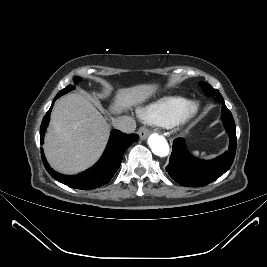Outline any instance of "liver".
<instances>
[{"instance_id":"liver-1","label":"liver","mask_w":267,"mask_h":267,"mask_svg":"<svg viewBox=\"0 0 267 267\" xmlns=\"http://www.w3.org/2000/svg\"><path fill=\"white\" fill-rule=\"evenodd\" d=\"M156 89V85L120 89L111 105V111L119 114L142 104ZM109 134V124L88 98L71 93L60 98L54 105L44 152L55 170L75 174L89 168L99 159Z\"/></svg>"}]
</instances>
